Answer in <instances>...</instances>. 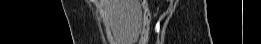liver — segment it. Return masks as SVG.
<instances>
[{
	"label": "liver",
	"mask_w": 261,
	"mask_h": 44,
	"mask_svg": "<svg viewBox=\"0 0 261 44\" xmlns=\"http://www.w3.org/2000/svg\"><path fill=\"white\" fill-rule=\"evenodd\" d=\"M107 3L113 35L122 44L135 42L141 27L139 0H108Z\"/></svg>",
	"instance_id": "obj_1"
}]
</instances>
